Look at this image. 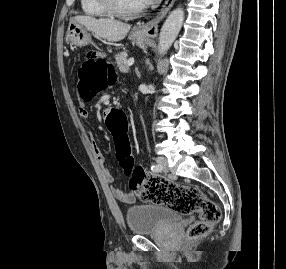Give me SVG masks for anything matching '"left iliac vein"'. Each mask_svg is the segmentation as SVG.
Listing matches in <instances>:
<instances>
[{"instance_id": "4c4485c4", "label": "left iliac vein", "mask_w": 286, "mask_h": 269, "mask_svg": "<svg viewBox=\"0 0 286 269\" xmlns=\"http://www.w3.org/2000/svg\"><path fill=\"white\" fill-rule=\"evenodd\" d=\"M157 163L162 166V170L164 172H168L169 171L168 161H167V159L165 157H163V156L158 157L157 158Z\"/></svg>"}]
</instances>
